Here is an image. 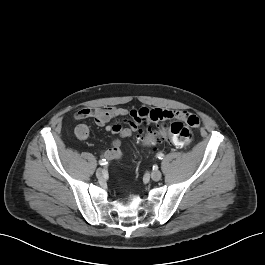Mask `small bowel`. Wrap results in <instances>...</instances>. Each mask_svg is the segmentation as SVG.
Returning a JSON list of instances; mask_svg holds the SVG:
<instances>
[{
    "instance_id": "obj_1",
    "label": "small bowel",
    "mask_w": 265,
    "mask_h": 265,
    "mask_svg": "<svg viewBox=\"0 0 265 265\" xmlns=\"http://www.w3.org/2000/svg\"><path fill=\"white\" fill-rule=\"evenodd\" d=\"M148 109H127L123 107H99L95 109L82 108L74 114L75 120H82L92 117L95 123L100 127H105V130L116 138L112 141L110 147L102 152V156L108 160L120 159L123 156L121 139L130 138L141 125L147 124L150 121L148 118ZM166 118H176L185 122L194 116L192 113L184 110H163ZM128 117L124 123L120 120L111 122L112 119ZM197 118V117H196ZM198 126V125H197ZM196 126V127H197ZM75 135L79 140H86L89 136V128L85 124H79L75 129Z\"/></svg>"
}]
</instances>
